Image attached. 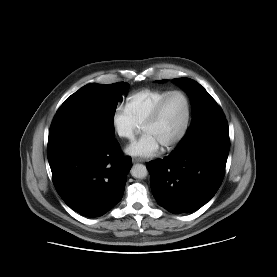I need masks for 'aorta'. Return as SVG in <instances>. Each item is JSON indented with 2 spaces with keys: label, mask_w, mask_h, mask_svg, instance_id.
<instances>
[{
  "label": "aorta",
  "mask_w": 277,
  "mask_h": 277,
  "mask_svg": "<svg viewBox=\"0 0 277 277\" xmlns=\"http://www.w3.org/2000/svg\"><path fill=\"white\" fill-rule=\"evenodd\" d=\"M130 172L134 178L138 179H144L148 175L147 168L143 164L133 165Z\"/></svg>",
  "instance_id": "762f6f07"
}]
</instances>
